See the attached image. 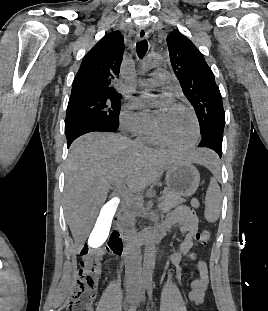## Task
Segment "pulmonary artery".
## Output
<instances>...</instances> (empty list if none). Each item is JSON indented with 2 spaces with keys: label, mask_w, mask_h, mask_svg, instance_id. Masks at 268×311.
<instances>
[{
  "label": "pulmonary artery",
  "mask_w": 268,
  "mask_h": 311,
  "mask_svg": "<svg viewBox=\"0 0 268 311\" xmlns=\"http://www.w3.org/2000/svg\"><path fill=\"white\" fill-rule=\"evenodd\" d=\"M172 75L165 70H158L152 74V77L139 80V86L142 88H152L161 84L170 82Z\"/></svg>",
  "instance_id": "obj_1"
}]
</instances>
